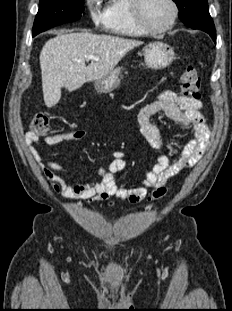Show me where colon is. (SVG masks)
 Returning <instances> with one entry per match:
<instances>
[{"instance_id": "obj_1", "label": "colon", "mask_w": 232, "mask_h": 311, "mask_svg": "<svg viewBox=\"0 0 232 311\" xmlns=\"http://www.w3.org/2000/svg\"><path fill=\"white\" fill-rule=\"evenodd\" d=\"M181 92L184 97L199 100L201 80L197 69L193 65H187L181 74ZM29 129L37 135H45L49 130V117L44 112H39L33 116L29 122ZM166 195V188H157L152 196V200H159Z\"/></svg>"}]
</instances>
